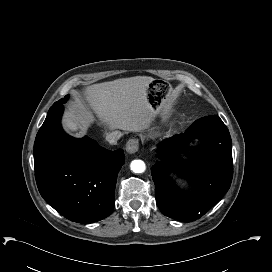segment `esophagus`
<instances>
[{
	"instance_id": "esophagus-1",
	"label": "esophagus",
	"mask_w": 272,
	"mask_h": 272,
	"mask_svg": "<svg viewBox=\"0 0 272 272\" xmlns=\"http://www.w3.org/2000/svg\"><path fill=\"white\" fill-rule=\"evenodd\" d=\"M139 149V140L137 138H132L126 143V151L128 154H134Z\"/></svg>"
}]
</instances>
